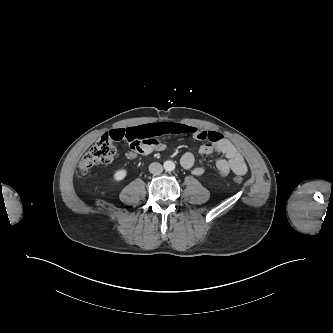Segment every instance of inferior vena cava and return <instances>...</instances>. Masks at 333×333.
Masks as SVG:
<instances>
[{
	"mask_svg": "<svg viewBox=\"0 0 333 333\" xmlns=\"http://www.w3.org/2000/svg\"><path fill=\"white\" fill-rule=\"evenodd\" d=\"M149 171L152 174L158 175V174L162 173L163 166L158 162H153L149 165Z\"/></svg>",
	"mask_w": 333,
	"mask_h": 333,
	"instance_id": "inferior-vena-cava-1",
	"label": "inferior vena cava"
}]
</instances>
